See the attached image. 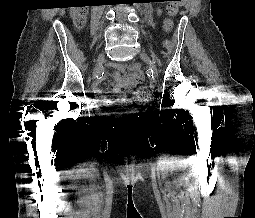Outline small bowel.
<instances>
[{
    "instance_id": "obj_1",
    "label": "small bowel",
    "mask_w": 255,
    "mask_h": 218,
    "mask_svg": "<svg viewBox=\"0 0 255 218\" xmlns=\"http://www.w3.org/2000/svg\"><path fill=\"white\" fill-rule=\"evenodd\" d=\"M108 67L113 70L111 72V77L116 82V85L114 86L115 92H120L122 90H131L138 83L142 82L144 78L138 64L127 66L125 64L110 63ZM95 92L97 94H100L99 89H95ZM125 98L126 97H123V99ZM101 99L104 101V98Z\"/></svg>"
}]
</instances>
